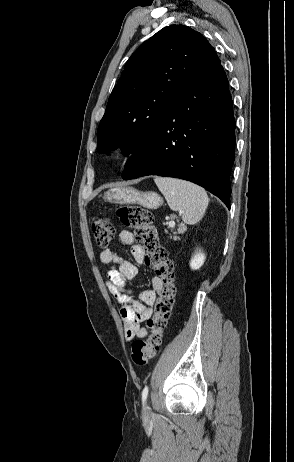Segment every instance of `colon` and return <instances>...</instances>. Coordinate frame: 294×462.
I'll return each mask as SVG.
<instances>
[{"label": "colon", "mask_w": 294, "mask_h": 462, "mask_svg": "<svg viewBox=\"0 0 294 462\" xmlns=\"http://www.w3.org/2000/svg\"><path fill=\"white\" fill-rule=\"evenodd\" d=\"M117 216L123 225L133 231L146 265L154 269L156 276L163 282L154 312L146 323L149 334L146 339L135 340L131 346L133 362L137 366H145L160 348L163 331L174 304L176 293L174 267L166 249L159 241L150 211L137 205L124 206L117 210ZM90 228L96 244L101 248L107 247L114 236V227L110 220L93 217Z\"/></svg>", "instance_id": "1"}]
</instances>
